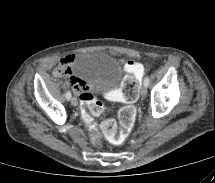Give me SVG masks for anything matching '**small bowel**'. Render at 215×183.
Returning a JSON list of instances; mask_svg holds the SVG:
<instances>
[{
    "label": "small bowel",
    "mask_w": 215,
    "mask_h": 183,
    "mask_svg": "<svg viewBox=\"0 0 215 183\" xmlns=\"http://www.w3.org/2000/svg\"><path fill=\"white\" fill-rule=\"evenodd\" d=\"M75 57H76L75 55H67V56L63 57L60 60V62L58 63L57 67L55 68L54 74L58 75L57 74V68L61 67V66L68 70L67 74H72L71 64H72L73 60L75 59ZM125 67L128 70V72L133 74L139 80L142 79V77L144 75V71H145L143 64L129 61V62L125 63ZM70 81H71V84H72L74 91L77 94H79V97L84 93H89L88 91L91 89V85L87 81H85L84 79L79 78L75 75H72L70 77ZM110 98L113 100H121V96H119V95H110Z\"/></svg>",
    "instance_id": "c3829d8e"
}]
</instances>
